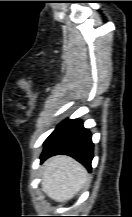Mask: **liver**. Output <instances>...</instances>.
Here are the masks:
<instances>
[{
    "mask_svg": "<svg viewBox=\"0 0 132 217\" xmlns=\"http://www.w3.org/2000/svg\"><path fill=\"white\" fill-rule=\"evenodd\" d=\"M87 180L86 168L69 156H54L43 164L42 189L56 202L72 199Z\"/></svg>",
    "mask_w": 132,
    "mask_h": 217,
    "instance_id": "6515ba94",
    "label": "liver"
}]
</instances>
